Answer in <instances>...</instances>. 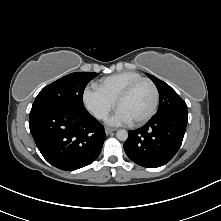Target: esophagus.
<instances>
[{
    "label": "esophagus",
    "mask_w": 221,
    "mask_h": 221,
    "mask_svg": "<svg viewBox=\"0 0 221 221\" xmlns=\"http://www.w3.org/2000/svg\"><path fill=\"white\" fill-rule=\"evenodd\" d=\"M115 131V129H113V128H109V127H106L105 128V133L106 134H110V133H112V132H114Z\"/></svg>",
    "instance_id": "obj_1"
}]
</instances>
